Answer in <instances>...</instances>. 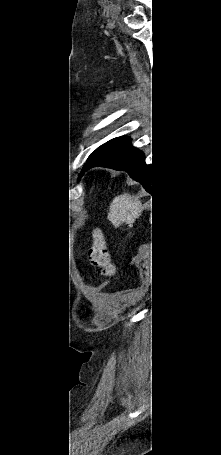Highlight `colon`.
Returning <instances> with one entry per match:
<instances>
[{
    "label": "colon",
    "instance_id": "5ec220e1",
    "mask_svg": "<svg viewBox=\"0 0 221 455\" xmlns=\"http://www.w3.org/2000/svg\"><path fill=\"white\" fill-rule=\"evenodd\" d=\"M88 259L90 264L98 269L102 275L113 276L115 274V267L111 262L104 236L100 232H95L93 235Z\"/></svg>",
    "mask_w": 221,
    "mask_h": 455
}]
</instances>
